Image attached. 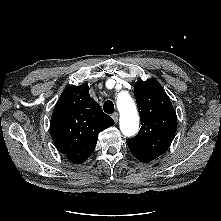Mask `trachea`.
<instances>
[{
	"label": "trachea",
	"mask_w": 221,
	"mask_h": 221,
	"mask_svg": "<svg viewBox=\"0 0 221 221\" xmlns=\"http://www.w3.org/2000/svg\"><path fill=\"white\" fill-rule=\"evenodd\" d=\"M103 109H104V112L107 113V114H112V113H114L115 109H114V104H113V102L110 101V100H107V101L104 103Z\"/></svg>",
	"instance_id": "3493384b"
}]
</instances>
